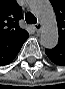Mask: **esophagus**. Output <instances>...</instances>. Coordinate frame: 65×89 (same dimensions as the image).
I'll list each match as a JSON object with an SVG mask.
<instances>
[{
    "mask_svg": "<svg viewBox=\"0 0 65 89\" xmlns=\"http://www.w3.org/2000/svg\"><path fill=\"white\" fill-rule=\"evenodd\" d=\"M33 26H34V28H35L36 32H37V33H39V32H40V30H41V28H42L41 23L34 24Z\"/></svg>",
    "mask_w": 65,
    "mask_h": 89,
    "instance_id": "esophagus-1",
    "label": "esophagus"
}]
</instances>
